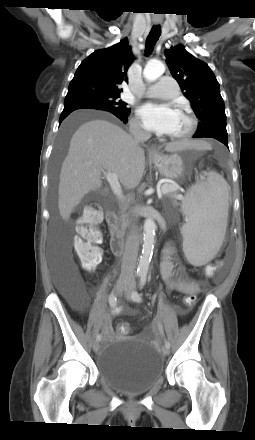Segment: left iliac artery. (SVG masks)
I'll list each match as a JSON object with an SVG mask.
<instances>
[{"mask_svg": "<svg viewBox=\"0 0 255 440\" xmlns=\"http://www.w3.org/2000/svg\"><path fill=\"white\" fill-rule=\"evenodd\" d=\"M145 283H146V275H142L141 278H140V282H139V286H138V288H139V289L143 288V286L145 285ZM132 299H133L135 302H141V301H142V298H141L140 294H139L137 291H134V292L132 293ZM159 328H160V330L162 331V326H161V325H159ZM165 346H167V347L170 348V343H169V341H167L166 339H165Z\"/></svg>", "mask_w": 255, "mask_h": 440, "instance_id": "44dca946", "label": "left iliac artery"}]
</instances>
